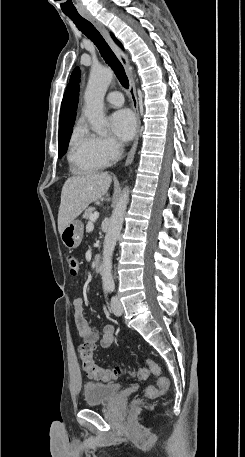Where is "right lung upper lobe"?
I'll list each match as a JSON object with an SVG mask.
<instances>
[{"label":"right lung upper lobe","instance_id":"1","mask_svg":"<svg viewBox=\"0 0 245 457\" xmlns=\"http://www.w3.org/2000/svg\"><path fill=\"white\" fill-rule=\"evenodd\" d=\"M115 42L121 46V43L111 34ZM80 70L76 67L70 77L69 84L66 88L60 111L59 128L74 123L78 97H79Z\"/></svg>","mask_w":245,"mask_h":457}]
</instances>
